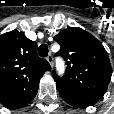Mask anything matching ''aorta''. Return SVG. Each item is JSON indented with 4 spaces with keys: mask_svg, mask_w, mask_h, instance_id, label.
Masks as SVG:
<instances>
[{
    "mask_svg": "<svg viewBox=\"0 0 114 114\" xmlns=\"http://www.w3.org/2000/svg\"><path fill=\"white\" fill-rule=\"evenodd\" d=\"M56 68H57L58 73L62 74L65 70V66H64L63 61H61V60L57 61Z\"/></svg>",
    "mask_w": 114,
    "mask_h": 114,
    "instance_id": "obj_1",
    "label": "aorta"
}]
</instances>
